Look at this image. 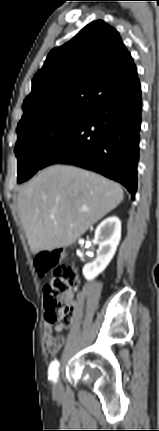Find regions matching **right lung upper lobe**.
<instances>
[{
    "instance_id": "obj_1",
    "label": "right lung upper lobe",
    "mask_w": 159,
    "mask_h": 431,
    "mask_svg": "<svg viewBox=\"0 0 159 431\" xmlns=\"http://www.w3.org/2000/svg\"><path fill=\"white\" fill-rule=\"evenodd\" d=\"M138 81L119 33L98 20L48 54L32 80L17 130L66 111L90 113Z\"/></svg>"
}]
</instances>
